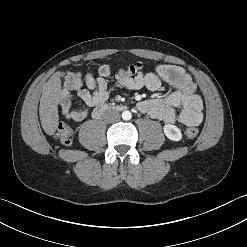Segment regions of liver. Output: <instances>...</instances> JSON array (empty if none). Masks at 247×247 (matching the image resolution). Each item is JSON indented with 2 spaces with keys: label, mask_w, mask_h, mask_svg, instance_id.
<instances>
[{
  "label": "liver",
  "mask_w": 247,
  "mask_h": 247,
  "mask_svg": "<svg viewBox=\"0 0 247 247\" xmlns=\"http://www.w3.org/2000/svg\"><path fill=\"white\" fill-rule=\"evenodd\" d=\"M60 73H55L45 84L40 98L39 116L43 130L48 135L56 132L59 116L58 103L62 94Z\"/></svg>",
  "instance_id": "liver-1"
}]
</instances>
